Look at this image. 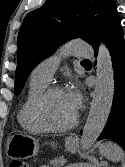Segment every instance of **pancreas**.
Here are the masks:
<instances>
[{"label": "pancreas", "instance_id": "1", "mask_svg": "<svg viewBox=\"0 0 125 167\" xmlns=\"http://www.w3.org/2000/svg\"><path fill=\"white\" fill-rule=\"evenodd\" d=\"M63 160V157L55 158L53 160H50V164L53 167H62L63 163L61 162Z\"/></svg>", "mask_w": 125, "mask_h": 167}]
</instances>
